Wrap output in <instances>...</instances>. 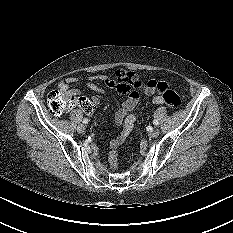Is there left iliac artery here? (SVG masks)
I'll return each mask as SVG.
<instances>
[{
  "label": "left iliac artery",
  "instance_id": "44dca946",
  "mask_svg": "<svg viewBox=\"0 0 233 233\" xmlns=\"http://www.w3.org/2000/svg\"><path fill=\"white\" fill-rule=\"evenodd\" d=\"M153 124H154V125H158V124H159L158 120H157V119H154V120H153Z\"/></svg>",
  "mask_w": 233,
  "mask_h": 233
}]
</instances>
